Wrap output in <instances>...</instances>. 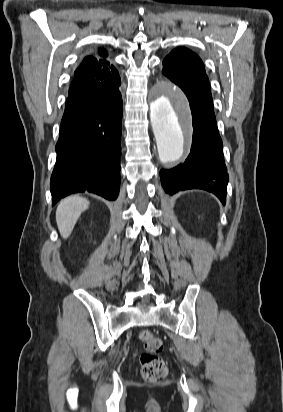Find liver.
Segmentation results:
<instances>
[{"label": "liver", "mask_w": 283, "mask_h": 412, "mask_svg": "<svg viewBox=\"0 0 283 412\" xmlns=\"http://www.w3.org/2000/svg\"><path fill=\"white\" fill-rule=\"evenodd\" d=\"M89 201L83 197L71 196L62 200L56 210V222L60 235L67 239L81 213L88 209Z\"/></svg>", "instance_id": "6515ba94"}]
</instances>
